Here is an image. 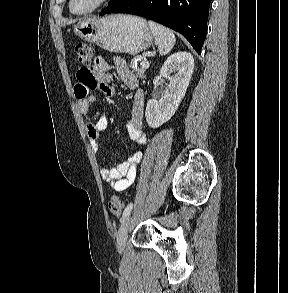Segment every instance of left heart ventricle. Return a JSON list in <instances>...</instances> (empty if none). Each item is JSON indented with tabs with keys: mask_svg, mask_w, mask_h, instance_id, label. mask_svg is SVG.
Returning a JSON list of instances; mask_svg holds the SVG:
<instances>
[{
	"mask_svg": "<svg viewBox=\"0 0 288 293\" xmlns=\"http://www.w3.org/2000/svg\"><path fill=\"white\" fill-rule=\"evenodd\" d=\"M96 0H74L73 8L77 11L90 7Z\"/></svg>",
	"mask_w": 288,
	"mask_h": 293,
	"instance_id": "left-heart-ventricle-1",
	"label": "left heart ventricle"
}]
</instances>
